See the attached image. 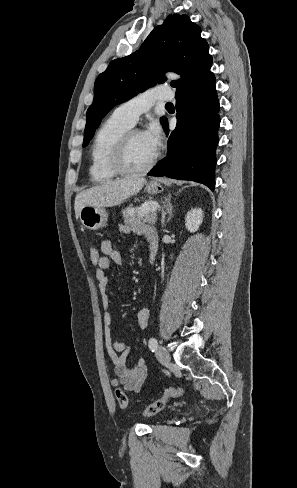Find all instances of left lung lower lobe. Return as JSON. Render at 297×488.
<instances>
[{"label": "left lung lower lobe", "mask_w": 297, "mask_h": 488, "mask_svg": "<svg viewBox=\"0 0 297 488\" xmlns=\"http://www.w3.org/2000/svg\"><path fill=\"white\" fill-rule=\"evenodd\" d=\"M219 108L213 73L176 94L177 125L169 135L167 155L148 175L192 180L214 190ZM163 126L168 135L167 119Z\"/></svg>", "instance_id": "obj_1"}]
</instances>
